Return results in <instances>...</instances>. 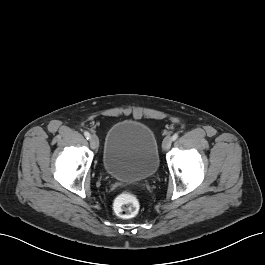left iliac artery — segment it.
Here are the masks:
<instances>
[{"label":"left iliac artery","instance_id":"obj_1","mask_svg":"<svg viewBox=\"0 0 265 265\" xmlns=\"http://www.w3.org/2000/svg\"><path fill=\"white\" fill-rule=\"evenodd\" d=\"M177 138H178V134L175 133V134L172 136V140L175 141Z\"/></svg>","mask_w":265,"mask_h":265}]
</instances>
